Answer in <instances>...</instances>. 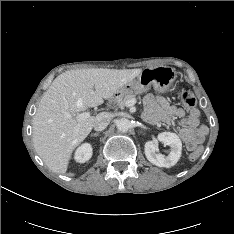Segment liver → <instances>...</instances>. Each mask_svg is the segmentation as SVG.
<instances>
[{
    "instance_id": "6515ba94",
    "label": "liver",
    "mask_w": 234,
    "mask_h": 234,
    "mask_svg": "<svg viewBox=\"0 0 234 234\" xmlns=\"http://www.w3.org/2000/svg\"><path fill=\"white\" fill-rule=\"evenodd\" d=\"M142 69H77L55 78L44 93L33 117V143L47 167L59 174L67 171L73 150L91 132L95 117L79 121L89 107L112 98ZM95 89V90H94Z\"/></svg>"
}]
</instances>
